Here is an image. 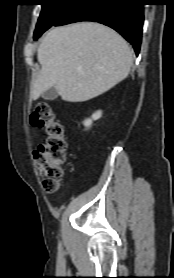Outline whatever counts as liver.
<instances>
[{
  "instance_id": "liver-1",
  "label": "liver",
  "mask_w": 174,
  "mask_h": 278,
  "mask_svg": "<svg viewBox=\"0 0 174 278\" xmlns=\"http://www.w3.org/2000/svg\"><path fill=\"white\" fill-rule=\"evenodd\" d=\"M40 73L33 100L55 87L64 101L83 102L124 80L133 64L128 43L113 29L82 22L50 30L37 50Z\"/></svg>"
}]
</instances>
